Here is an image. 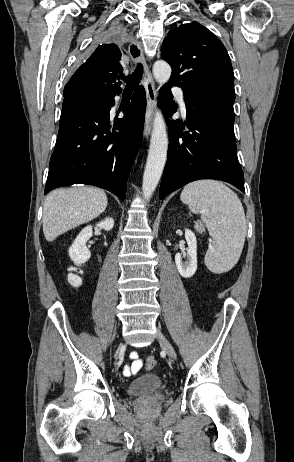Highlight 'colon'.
<instances>
[{
    "label": "colon",
    "mask_w": 294,
    "mask_h": 462,
    "mask_svg": "<svg viewBox=\"0 0 294 462\" xmlns=\"http://www.w3.org/2000/svg\"><path fill=\"white\" fill-rule=\"evenodd\" d=\"M81 269L78 266H72L69 269L68 281L72 286H79L81 283ZM156 365V359L151 356L146 361V367L148 369L153 368Z\"/></svg>",
    "instance_id": "1"
}]
</instances>
